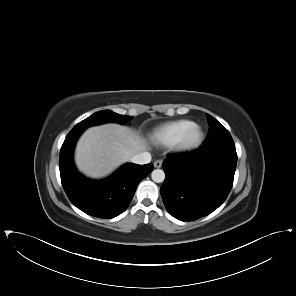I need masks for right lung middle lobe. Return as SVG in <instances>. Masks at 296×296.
I'll return each mask as SVG.
<instances>
[{"instance_id":"dd1d6c3e","label":"right lung middle lobe","mask_w":296,"mask_h":296,"mask_svg":"<svg viewBox=\"0 0 296 296\" xmlns=\"http://www.w3.org/2000/svg\"><path fill=\"white\" fill-rule=\"evenodd\" d=\"M129 119H131V116L120 115L110 110H103L92 114L91 116L74 126L73 129L84 130L89 126L98 125L106 122H115L121 124Z\"/></svg>"}]
</instances>
